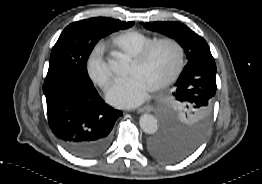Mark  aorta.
Here are the masks:
<instances>
[{
  "mask_svg": "<svg viewBox=\"0 0 262 184\" xmlns=\"http://www.w3.org/2000/svg\"><path fill=\"white\" fill-rule=\"evenodd\" d=\"M114 71L117 72L118 68L114 66ZM139 124L141 129L146 134H154L158 130L156 118L151 114H143L140 117Z\"/></svg>",
  "mask_w": 262,
  "mask_h": 184,
  "instance_id": "762f6f07",
  "label": "aorta"
}]
</instances>
